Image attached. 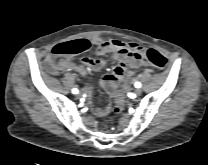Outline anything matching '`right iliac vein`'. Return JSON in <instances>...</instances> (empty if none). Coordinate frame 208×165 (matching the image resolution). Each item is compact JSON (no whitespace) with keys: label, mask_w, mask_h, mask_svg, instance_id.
<instances>
[{"label":"right iliac vein","mask_w":208,"mask_h":165,"mask_svg":"<svg viewBox=\"0 0 208 165\" xmlns=\"http://www.w3.org/2000/svg\"><path fill=\"white\" fill-rule=\"evenodd\" d=\"M77 97H80V94H77Z\"/></svg>","instance_id":"63e3f726"}]
</instances>
